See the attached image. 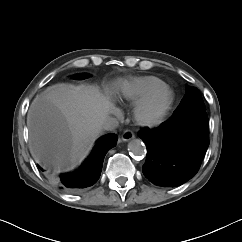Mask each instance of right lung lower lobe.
<instances>
[{
	"label": "right lung lower lobe",
	"mask_w": 242,
	"mask_h": 242,
	"mask_svg": "<svg viewBox=\"0 0 242 242\" xmlns=\"http://www.w3.org/2000/svg\"><path fill=\"white\" fill-rule=\"evenodd\" d=\"M117 139L116 134H106L101 137L93 152L79 169L56 176L53 182L60 189L68 192H78L93 185L100 177L106 153L115 146Z\"/></svg>",
	"instance_id": "98d812e1"
}]
</instances>
